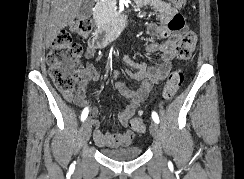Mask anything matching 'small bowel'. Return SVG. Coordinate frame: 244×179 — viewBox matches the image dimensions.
I'll return each mask as SVG.
<instances>
[{
  "mask_svg": "<svg viewBox=\"0 0 244 179\" xmlns=\"http://www.w3.org/2000/svg\"><path fill=\"white\" fill-rule=\"evenodd\" d=\"M138 7H150L158 16L157 22H151L147 25V34L151 37H161L164 39L161 43L149 42L146 45V52L149 54L160 53L159 58H155L151 64L144 61H136L129 56L123 58L124 63L131 68L127 75L130 79L140 82V87L130 89L124 81L115 83L116 91L126 100L128 105L118 116V122L121 126L127 127L130 119L133 117L141 103L150 94L153 86L162 82L171 70V62L175 54L176 41L180 37L184 27L183 16L168 2L164 0H138ZM98 47L89 43L84 57L91 60L95 57ZM114 79L120 77V72L115 71L112 74ZM100 79V74L93 63H88L79 71L78 87L75 91L64 93V99L76 106L89 107L86 100V89L90 81ZM98 109L90 108L91 124L95 128L94 141L100 147L127 146L131 143L133 133L130 130L110 132L103 131L100 128V121L95 118Z\"/></svg>",
  "mask_w": 244,
  "mask_h": 179,
  "instance_id": "obj_1",
  "label": "small bowel"
}]
</instances>
